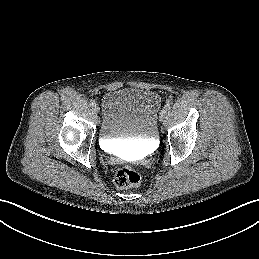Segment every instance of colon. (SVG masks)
Returning a JSON list of instances; mask_svg holds the SVG:
<instances>
[{"instance_id": "colon-1", "label": "colon", "mask_w": 259, "mask_h": 259, "mask_svg": "<svg viewBox=\"0 0 259 259\" xmlns=\"http://www.w3.org/2000/svg\"><path fill=\"white\" fill-rule=\"evenodd\" d=\"M113 180L118 188H131L138 186L141 178L134 168L122 166L116 169Z\"/></svg>"}]
</instances>
